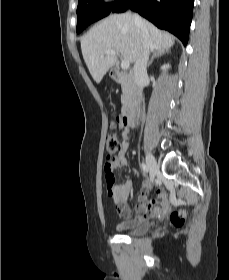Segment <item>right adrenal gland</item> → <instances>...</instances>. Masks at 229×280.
I'll return each instance as SVG.
<instances>
[{"mask_svg":"<svg viewBox=\"0 0 229 280\" xmlns=\"http://www.w3.org/2000/svg\"><path fill=\"white\" fill-rule=\"evenodd\" d=\"M169 51L167 49H158L155 50L153 53V56L151 58V60L148 63V67L152 64V62L154 61L155 58L160 57L162 55H164L165 53H168Z\"/></svg>","mask_w":229,"mask_h":280,"instance_id":"obj_1","label":"right adrenal gland"}]
</instances>
